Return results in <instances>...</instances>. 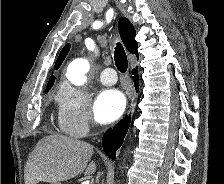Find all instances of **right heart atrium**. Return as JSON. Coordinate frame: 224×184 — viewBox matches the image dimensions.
I'll list each match as a JSON object with an SVG mask.
<instances>
[{"instance_id": "right-heart-atrium-1", "label": "right heart atrium", "mask_w": 224, "mask_h": 184, "mask_svg": "<svg viewBox=\"0 0 224 184\" xmlns=\"http://www.w3.org/2000/svg\"><path fill=\"white\" fill-rule=\"evenodd\" d=\"M58 123L60 128L74 137H84L93 126L91 103L86 92L65 85L58 96Z\"/></svg>"}]
</instances>
